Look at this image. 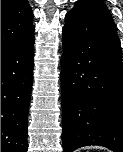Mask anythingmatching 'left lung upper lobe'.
Returning a JSON list of instances; mask_svg holds the SVG:
<instances>
[{
    "label": "left lung upper lobe",
    "instance_id": "1",
    "mask_svg": "<svg viewBox=\"0 0 123 152\" xmlns=\"http://www.w3.org/2000/svg\"><path fill=\"white\" fill-rule=\"evenodd\" d=\"M82 2H87L93 6L98 7L100 10L106 12L107 14H109L106 5L100 0H79V1H77L76 5L79 3H82Z\"/></svg>",
    "mask_w": 123,
    "mask_h": 152
}]
</instances>
